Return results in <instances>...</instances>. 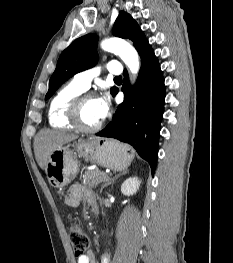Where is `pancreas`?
<instances>
[{
	"label": "pancreas",
	"instance_id": "cf45deb5",
	"mask_svg": "<svg viewBox=\"0 0 233 263\" xmlns=\"http://www.w3.org/2000/svg\"><path fill=\"white\" fill-rule=\"evenodd\" d=\"M82 178L83 184L89 189L95 188L98 183L108 179L107 175L98 169L86 171Z\"/></svg>",
	"mask_w": 233,
	"mask_h": 263
}]
</instances>
